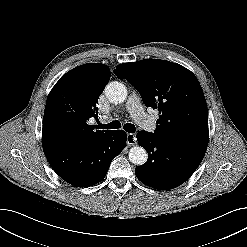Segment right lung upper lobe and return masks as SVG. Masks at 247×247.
<instances>
[{"label":"right lung upper lobe","instance_id":"cb5924a9","mask_svg":"<svg viewBox=\"0 0 247 247\" xmlns=\"http://www.w3.org/2000/svg\"><path fill=\"white\" fill-rule=\"evenodd\" d=\"M109 80V68L99 63L83 64L64 74L47 98L43 139L83 148L111 132L88 124L90 118L98 119L96 104Z\"/></svg>","mask_w":247,"mask_h":247}]
</instances>
